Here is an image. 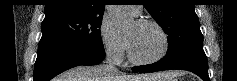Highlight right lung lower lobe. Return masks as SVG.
I'll return each mask as SVG.
<instances>
[{"instance_id":"98d812e1","label":"right lung lower lobe","mask_w":237,"mask_h":81,"mask_svg":"<svg viewBox=\"0 0 237 81\" xmlns=\"http://www.w3.org/2000/svg\"><path fill=\"white\" fill-rule=\"evenodd\" d=\"M102 45H76L57 41H40L34 66V81H49L61 72L79 65H96L103 61Z\"/></svg>"}]
</instances>
